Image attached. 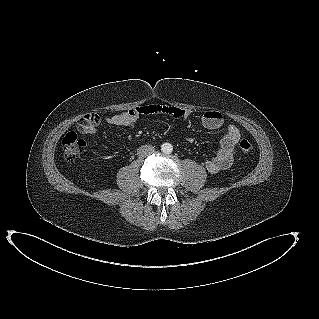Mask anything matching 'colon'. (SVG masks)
<instances>
[{"instance_id": "colon-1", "label": "colon", "mask_w": 319, "mask_h": 319, "mask_svg": "<svg viewBox=\"0 0 319 319\" xmlns=\"http://www.w3.org/2000/svg\"><path fill=\"white\" fill-rule=\"evenodd\" d=\"M92 120L93 115L87 114L78 121V125L88 123ZM62 148L65 159L73 161L85 151L86 142L79 138L76 133L69 132L62 140ZM240 149L246 155H252L254 152L252 143L245 139L240 142Z\"/></svg>"}]
</instances>
